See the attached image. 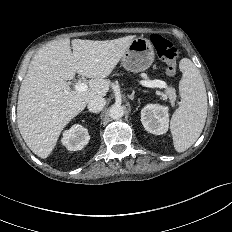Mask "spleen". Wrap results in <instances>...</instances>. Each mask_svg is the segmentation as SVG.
Wrapping results in <instances>:
<instances>
[{"label":"spleen","mask_w":232,"mask_h":232,"mask_svg":"<svg viewBox=\"0 0 232 232\" xmlns=\"http://www.w3.org/2000/svg\"><path fill=\"white\" fill-rule=\"evenodd\" d=\"M182 79L179 83L181 101L170 122L174 148L184 152L200 136L207 117V94L202 76L188 58L179 62Z\"/></svg>","instance_id":"1"}]
</instances>
